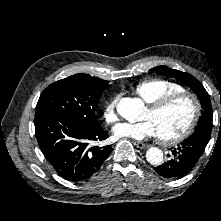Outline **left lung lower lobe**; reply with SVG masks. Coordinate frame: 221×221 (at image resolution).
<instances>
[{
  "label": "left lung lower lobe",
  "mask_w": 221,
  "mask_h": 221,
  "mask_svg": "<svg viewBox=\"0 0 221 221\" xmlns=\"http://www.w3.org/2000/svg\"><path fill=\"white\" fill-rule=\"evenodd\" d=\"M210 132L193 133L168 155L169 160L154 168L164 178H182L195 167L210 139Z\"/></svg>",
  "instance_id": "left-lung-lower-lobe-1"
}]
</instances>
